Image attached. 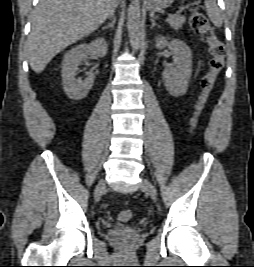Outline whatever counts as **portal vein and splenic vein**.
Here are the masks:
<instances>
[{"mask_svg": "<svg viewBox=\"0 0 254 267\" xmlns=\"http://www.w3.org/2000/svg\"><path fill=\"white\" fill-rule=\"evenodd\" d=\"M175 15L173 14H169L168 17L166 18V21L169 20V19H172Z\"/></svg>", "mask_w": 254, "mask_h": 267, "instance_id": "1", "label": "portal vein and splenic vein"}]
</instances>
